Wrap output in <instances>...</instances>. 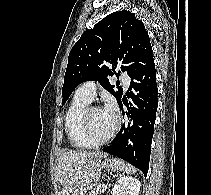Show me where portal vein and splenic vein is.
<instances>
[{
	"instance_id": "1",
	"label": "portal vein and splenic vein",
	"mask_w": 211,
	"mask_h": 195,
	"mask_svg": "<svg viewBox=\"0 0 211 195\" xmlns=\"http://www.w3.org/2000/svg\"><path fill=\"white\" fill-rule=\"evenodd\" d=\"M106 189H107V185H103V186L101 187V192L103 193Z\"/></svg>"
}]
</instances>
